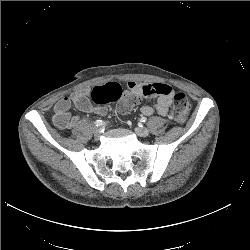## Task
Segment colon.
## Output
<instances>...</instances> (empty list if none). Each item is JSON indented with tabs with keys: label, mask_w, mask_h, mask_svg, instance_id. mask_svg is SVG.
<instances>
[{
	"label": "colon",
	"mask_w": 250,
	"mask_h": 250,
	"mask_svg": "<svg viewBox=\"0 0 250 250\" xmlns=\"http://www.w3.org/2000/svg\"><path fill=\"white\" fill-rule=\"evenodd\" d=\"M91 97L99 105L116 104L121 113L129 112L142 98L140 93L131 90L124 91L119 84L114 82L95 87L91 92ZM190 110L187 96L181 92L175 94L171 118L178 123H183L187 120Z\"/></svg>",
	"instance_id": "5ec220e1"
}]
</instances>
